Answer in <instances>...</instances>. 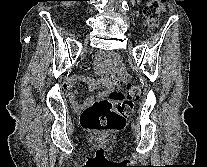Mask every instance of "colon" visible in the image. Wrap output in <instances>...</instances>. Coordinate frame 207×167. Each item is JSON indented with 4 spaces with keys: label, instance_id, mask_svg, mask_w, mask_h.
Masks as SVG:
<instances>
[{
    "label": "colon",
    "instance_id": "colon-1",
    "mask_svg": "<svg viewBox=\"0 0 207 167\" xmlns=\"http://www.w3.org/2000/svg\"><path fill=\"white\" fill-rule=\"evenodd\" d=\"M164 10V0H152L144 8V16L150 28L157 25L158 18ZM111 57L113 60H117V55ZM143 92V86L132 83H126L125 92L117 88L109 90L97 102L83 111L81 115L82 127L101 133L123 128L132 113L133 102L139 99Z\"/></svg>",
    "mask_w": 207,
    "mask_h": 167
}]
</instances>
